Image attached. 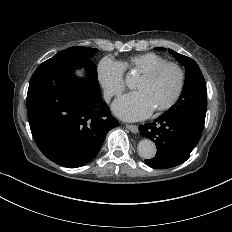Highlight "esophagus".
<instances>
[{"label": "esophagus", "instance_id": "esophagus-1", "mask_svg": "<svg viewBox=\"0 0 232 232\" xmlns=\"http://www.w3.org/2000/svg\"><path fill=\"white\" fill-rule=\"evenodd\" d=\"M126 128H128L133 133H138L137 125L126 124Z\"/></svg>", "mask_w": 232, "mask_h": 232}]
</instances>
